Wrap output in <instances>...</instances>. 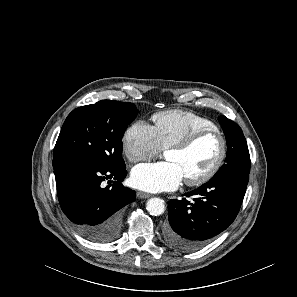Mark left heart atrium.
I'll use <instances>...</instances> for the list:
<instances>
[{"mask_svg": "<svg viewBox=\"0 0 297 297\" xmlns=\"http://www.w3.org/2000/svg\"><path fill=\"white\" fill-rule=\"evenodd\" d=\"M184 180L183 169L173 161L143 163L135 166L130 175L135 188L148 192L171 191Z\"/></svg>", "mask_w": 297, "mask_h": 297, "instance_id": "left-heart-atrium-1", "label": "left heart atrium"}]
</instances>
